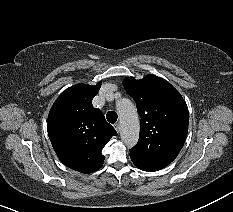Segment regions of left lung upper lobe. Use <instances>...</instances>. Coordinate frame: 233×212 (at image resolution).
I'll return each mask as SVG.
<instances>
[{
  "label": "left lung upper lobe",
  "mask_w": 233,
  "mask_h": 212,
  "mask_svg": "<svg viewBox=\"0 0 233 212\" xmlns=\"http://www.w3.org/2000/svg\"><path fill=\"white\" fill-rule=\"evenodd\" d=\"M123 84L141 117L139 141L130 149V157L162 169L184 145L189 121L187 105L169 82L155 75H146L141 80L127 77Z\"/></svg>",
  "instance_id": "obj_1"
}]
</instances>
